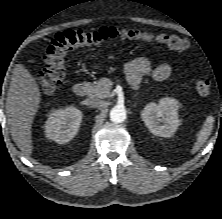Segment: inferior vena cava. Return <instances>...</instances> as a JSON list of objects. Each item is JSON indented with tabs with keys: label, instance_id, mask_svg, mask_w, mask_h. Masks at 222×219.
<instances>
[{
	"label": "inferior vena cava",
	"instance_id": "obj_1",
	"mask_svg": "<svg viewBox=\"0 0 222 219\" xmlns=\"http://www.w3.org/2000/svg\"><path fill=\"white\" fill-rule=\"evenodd\" d=\"M88 104L93 108H102L104 106V102L98 99H90Z\"/></svg>",
	"mask_w": 222,
	"mask_h": 219
}]
</instances>
